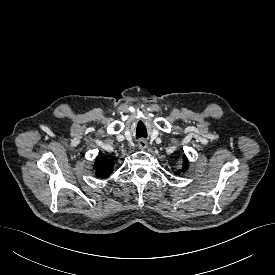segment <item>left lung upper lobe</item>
Returning <instances> with one entry per match:
<instances>
[{
	"label": "left lung upper lobe",
	"mask_w": 275,
	"mask_h": 275,
	"mask_svg": "<svg viewBox=\"0 0 275 275\" xmlns=\"http://www.w3.org/2000/svg\"><path fill=\"white\" fill-rule=\"evenodd\" d=\"M184 157V160H183V172L187 169V164H188V160L185 156ZM181 170H178L176 173H180Z\"/></svg>",
	"instance_id": "obj_1"
}]
</instances>
